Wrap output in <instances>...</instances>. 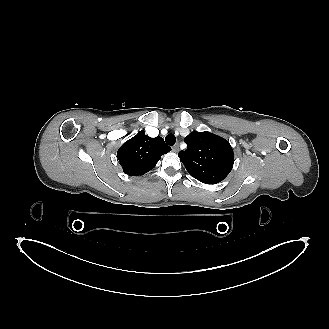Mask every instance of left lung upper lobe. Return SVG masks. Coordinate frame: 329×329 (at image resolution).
Here are the masks:
<instances>
[{
  "label": "left lung upper lobe",
  "mask_w": 329,
  "mask_h": 329,
  "mask_svg": "<svg viewBox=\"0 0 329 329\" xmlns=\"http://www.w3.org/2000/svg\"><path fill=\"white\" fill-rule=\"evenodd\" d=\"M185 142L187 150L178 156L191 176L205 184H217L227 177L234 163L227 140L210 132L193 131Z\"/></svg>",
  "instance_id": "left-lung-upper-lobe-1"
}]
</instances>
